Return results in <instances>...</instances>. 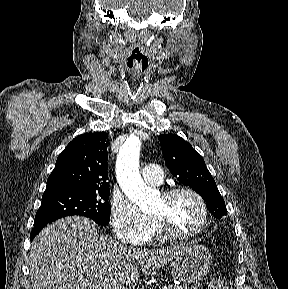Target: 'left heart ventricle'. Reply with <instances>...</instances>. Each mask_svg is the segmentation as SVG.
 I'll return each instance as SVG.
<instances>
[{
	"instance_id": "1",
	"label": "left heart ventricle",
	"mask_w": 288,
	"mask_h": 289,
	"mask_svg": "<svg viewBox=\"0 0 288 289\" xmlns=\"http://www.w3.org/2000/svg\"><path fill=\"white\" fill-rule=\"evenodd\" d=\"M151 214L163 218L172 230L179 233L194 230L202 217L197 201L187 194L180 195L168 203L160 197Z\"/></svg>"
}]
</instances>
